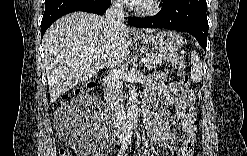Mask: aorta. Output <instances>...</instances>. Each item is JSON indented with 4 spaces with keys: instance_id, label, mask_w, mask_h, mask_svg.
Listing matches in <instances>:
<instances>
[{
    "instance_id": "762f6f07",
    "label": "aorta",
    "mask_w": 247,
    "mask_h": 156,
    "mask_svg": "<svg viewBox=\"0 0 247 156\" xmlns=\"http://www.w3.org/2000/svg\"><path fill=\"white\" fill-rule=\"evenodd\" d=\"M128 123L137 125L138 123V95L135 81L132 78L131 86L128 91Z\"/></svg>"
}]
</instances>
